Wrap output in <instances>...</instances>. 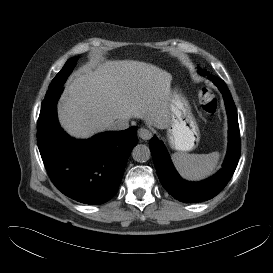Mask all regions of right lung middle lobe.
Returning <instances> with one entry per match:
<instances>
[{"label": "right lung middle lobe", "instance_id": "obj_1", "mask_svg": "<svg viewBox=\"0 0 273 273\" xmlns=\"http://www.w3.org/2000/svg\"><path fill=\"white\" fill-rule=\"evenodd\" d=\"M76 61H77V58L72 57L66 62L62 70L55 76V78L52 80L51 84L49 85L45 98L50 97L56 90L60 89L64 85L67 77L73 71L76 65Z\"/></svg>", "mask_w": 273, "mask_h": 273}]
</instances>
